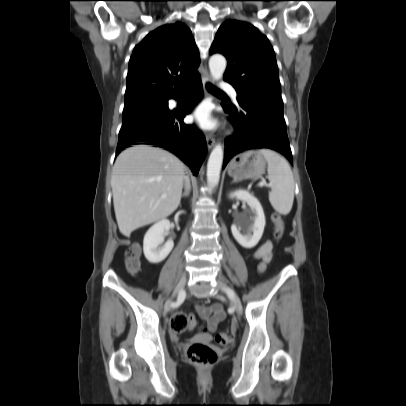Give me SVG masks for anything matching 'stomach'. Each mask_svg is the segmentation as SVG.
<instances>
[{
  "label": "stomach",
  "mask_w": 406,
  "mask_h": 406,
  "mask_svg": "<svg viewBox=\"0 0 406 406\" xmlns=\"http://www.w3.org/2000/svg\"><path fill=\"white\" fill-rule=\"evenodd\" d=\"M266 161L261 154L248 151L237 155L228 165V174L235 180L254 179L265 173Z\"/></svg>",
  "instance_id": "obj_1"
}]
</instances>
